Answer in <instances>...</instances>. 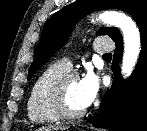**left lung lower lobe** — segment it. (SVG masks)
Here are the masks:
<instances>
[{"label": "left lung lower lobe", "instance_id": "obj_1", "mask_svg": "<svg viewBox=\"0 0 147 131\" xmlns=\"http://www.w3.org/2000/svg\"><path fill=\"white\" fill-rule=\"evenodd\" d=\"M142 50L135 72L126 81L117 69L123 53L122 39L116 41L113 84L104 95L98 113L88 122L108 131H147V21L139 27Z\"/></svg>", "mask_w": 147, "mask_h": 131}]
</instances>
